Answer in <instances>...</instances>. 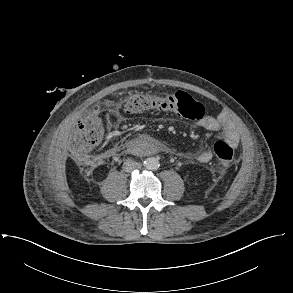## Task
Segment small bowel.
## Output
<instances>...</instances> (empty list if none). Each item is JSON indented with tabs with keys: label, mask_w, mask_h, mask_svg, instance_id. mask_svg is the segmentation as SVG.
Returning a JSON list of instances; mask_svg holds the SVG:
<instances>
[{
	"label": "small bowel",
	"mask_w": 293,
	"mask_h": 293,
	"mask_svg": "<svg viewBox=\"0 0 293 293\" xmlns=\"http://www.w3.org/2000/svg\"><path fill=\"white\" fill-rule=\"evenodd\" d=\"M200 111L202 113L196 122L198 127L211 132H219L222 138L234 148L239 145L240 135L233 122L230 120H218L205 114L202 104ZM118 120H121L120 117H118ZM194 158L201 163H208L213 159V153L210 150H204L194 155Z\"/></svg>",
	"instance_id": "c3829d8e"
}]
</instances>
